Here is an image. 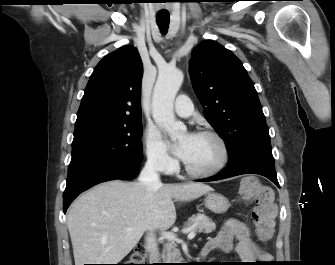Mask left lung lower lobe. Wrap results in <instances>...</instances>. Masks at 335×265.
Returning <instances> with one entry per match:
<instances>
[{
	"label": "left lung lower lobe",
	"mask_w": 335,
	"mask_h": 265,
	"mask_svg": "<svg viewBox=\"0 0 335 265\" xmlns=\"http://www.w3.org/2000/svg\"><path fill=\"white\" fill-rule=\"evenodd\" d=\"M259 174L270 179L276 186H279L277 175L274 166H270L260 162H245L237 165H227V167L219 174L210 178L198 180V181H216L241 174Z\"/></svg>",
	"instance_id": "obj_1"
}]
</instances>
